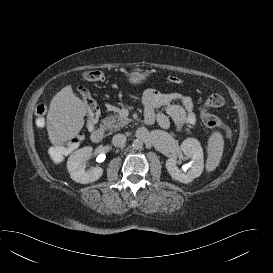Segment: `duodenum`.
Masks as SVG:
<instances>
[{"label":"duodenum","instance_id":"1","mask_svg":"<svg viewBox=\"0 0 273 273\" xmlns=\"http://www.w3.org/2000/svg\"><path fill=\"white\" fill-rule=\"evenodd\" d=\"M105 134V128L103 125L98 126L91 134V139L95 143H99L103 140Z\"/></svg>","mask_w":273,"mask_h":273}]
</instances>
